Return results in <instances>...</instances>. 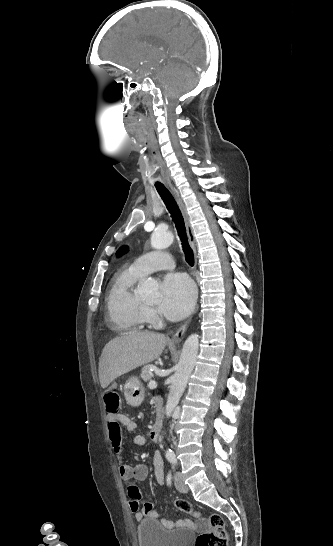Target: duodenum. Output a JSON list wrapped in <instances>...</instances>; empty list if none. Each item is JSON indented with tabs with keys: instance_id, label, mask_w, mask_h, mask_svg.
Masks as SVG:
<instances>
[{
	"instance_id": "1",
	"label": "duodenum",
	"mask_w": 333,
	"mask_h": 546,
	"mask_svg": "<svg viewBox=\"0 0 333 546\" xmlns=\"http://www.w3.org/2000/svg\"><path fill=\"white\" fill-rule=\"evenodd\" d=\"M161 427H162V422H161V419L158 417L151 430V438L153 441L159 440Z\"/></svg>"
}]
</instances>
